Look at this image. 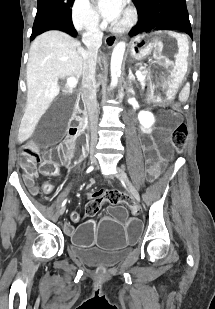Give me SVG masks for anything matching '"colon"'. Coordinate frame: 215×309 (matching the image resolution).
<instances>
[{
  "label": "colon",
  "mask_w": 215,
  "mask_h": 309,
  "mask_svg": "<svg viewBox=\"0 0 215 309\" xmlns=\"http://www.w3.org/2000/svg\"><path fill=\"white\" fill-rule=\"evenodd\" d=\"M187 138V125L184 122L178 123L172 135V142L175 146V149L182 151L187 142ZM38 160L39 155L31 151H26L21 156V164L24 170L28 173L34 172ZM57 165L58 163L56 161H46L43 167L44 173L50 176H56L58 172ZM42 188L45 193H50L53 189V185L50 181H46ZM105 201L111 205H120L128 203L130 199L125 194L115 190H105L101 193H94L90 196V199L85 204L86 216L94 217L97 215L101 209L102 203Z\"/></svg>",
  "instance_id": "5ec220e1"
}]
</instances>
